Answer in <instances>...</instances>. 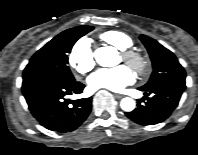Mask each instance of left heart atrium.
Here are the masks:
<instances>
[{
  "instance_id": "39dd6f15",
  "label": "left heart atrium",
  "mask_w": 198,
  "mask_h": 155,
  "mask_svg": "<svg viewBox=\"0 0 198 155\" xmlns=\"http://www.w3.org/2000/svg\"><path fill=\"white\" fill-rule=\"evenodd\" d=\"M134 82V75L126 65H120L111 69H100L88 78L90 87L94 89H109L121 91Z\"/></svg>"
}]
</instances>
